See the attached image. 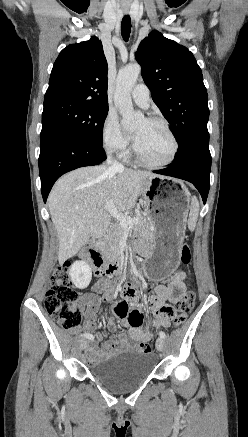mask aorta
Instances as JSON below:
<instances>
[{
  "mask_svg": "<svg viewBox=\"0 0 248 437\" xmlns=\"http://www.w3.org/2000/svg\"><path fill=\"white\" fill-rule=\"evenodd\" d=\"M141 72L138 64L121 69L116 79L114 102L122 115V125L126 128L135 127L143 118V114L135 112L132 105L131 90Z\"/></svg>",
  "mask_w": 248,
  "mask_h": 437,
  "instance_id": "obj_1",
  "label": "aorta"
}]
</instances>
